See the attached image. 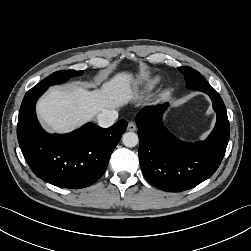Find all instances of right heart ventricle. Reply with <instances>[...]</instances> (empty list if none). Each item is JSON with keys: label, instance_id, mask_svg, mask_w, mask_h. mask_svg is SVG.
I'll return each mask as SVG.
<instances>
[{"label": "right heart ventricle", "instance_id": "1", "mask_svg": "<svg viewBox=\"0 0 251 251\" xmlns=\"http://www.w3.org/2000/svg\"><path fill=\"white\" fill-rule=\"evenodd\" d=\"M159 81H160L159 77H153V78L146 80L143 83V86L146 89H152L153 87H155L159 83Z\"/></svg>", "mask_w": 251, "mask_h": 251}]
</instances>
